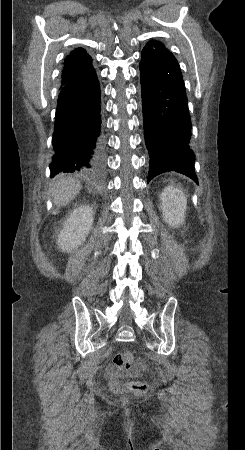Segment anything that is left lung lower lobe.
<instances>
[{
	"label": "left lung lower lobe",
	"mask_w": 245,
	"mask_h": 450,
	"mask_svg": "<svg viewBox=\"0 0 245 450\" xmlns=\"http://www.w3.org/2000/svg\"><path fill=\"white\" fill-rule=\"evenodd\" d=\"M144 136L150 156L148 180L175 171L198 184L190 148L191 119L181 72L171 63L140 62Z\"/></svg>",
	"instance_id": "left-lung-lower-lobe-1"
}]
</instances>
